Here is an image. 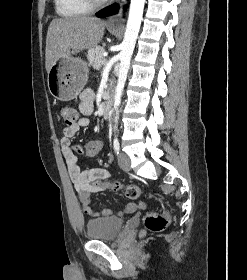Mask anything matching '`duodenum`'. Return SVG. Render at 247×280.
Instances as JSON below:
<instances>
[{
    "label": "duodenum",
    "instance_id": "obj_1",
    "mask_svg": "<svg viewBox=\"0 0 247 280\" xmlns=\"http://www.w3.org/2000/svg\"><path fill=\"white\" fill-rule=\"evenodd\" d=\"M112 107V96L111 94H106L104 97V103H103V116L105 119L109 118L110 112Z\"/></svg>",
    "mask_w": 247,
    "mask_h": 280
}]
</instances>
